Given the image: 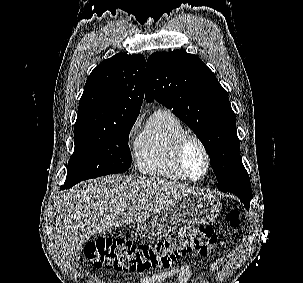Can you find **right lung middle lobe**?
<instances>
[{
	"label": "right lung middle lobe",
	"instance_id": "right-lung-middle-lobe-1",
	"mask_svg": "<svg viewBox=\"0 0 303 283\" xmlns=\"http://www.w3.org/2000/svg\"><path fill=\"white\" fill-rule=\"evenodd\" d=\"M136 120L111 125H74L75 149L68 163L66 187L131 167L129 132Z\"/></svg>",
	"mask_w": 303,
	"mask_h": 283
}]
</instances>
